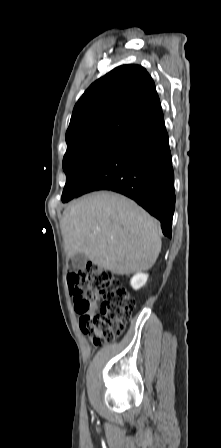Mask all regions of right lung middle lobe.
Returning <instances> with one entry per match:
<instances>
[{
	"mask_svg": "<svg viewBox=\"0 0 221 448\" xmlns=\"http://www.w3.org/2000/svg\"><path fill=\"white\" fill-rule=\"evenodd\" d=\"M117 140H104L83 144L66 152L63 170L67 181L62 193V201L78 197L86 182L105 159Z\"/></svg>",
	"mask_w": 221,
	"mask_h": 448,
	"instance_id": "dd1d6c3e",
	"label": "right lung middle lobe"
}]
</instances>
